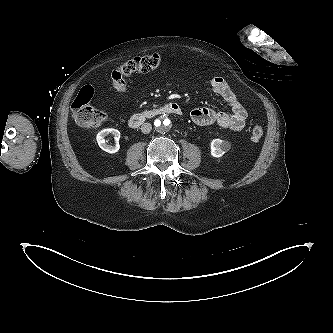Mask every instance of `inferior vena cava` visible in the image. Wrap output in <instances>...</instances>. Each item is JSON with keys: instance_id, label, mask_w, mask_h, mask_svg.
Wrapping results in <instances>:
<instances>
[{"instance_id": "602c4592", "label": "inferior vena cava", "mask_w": 333, "mask_h": 333, "mask_svg": "<svg viewBox=\"0 0 333 333\" xmlns=\"http://www.w3.org/2000/svg\"><path fill=\"white\" fill-rule=\"evenodd\" d=\"M152 130V125L150 123H144L141 126V131L144 134H148Z\"/></svg>"}]
</instances>
